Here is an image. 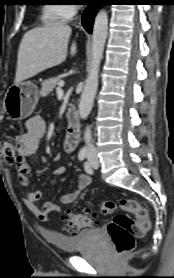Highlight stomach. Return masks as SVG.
Wrapping results in <instances>:
<instances>
[{"label": "stomach", "mask_w": 174, "mask_h": 278, "mask_svg": "<svg viewBox=\"0 0 174 278\" xmlns=\"http://www.w3.org/2000/svg\"><path fill=\"white\" fill-rule=\"evenodd\" d=\"M39 100L38 87L30 82L11 85L5 93L3 106L10 118L22 120L29 117Z\"/></svg>", "instance_id": "obj_1"}]
</instances>
